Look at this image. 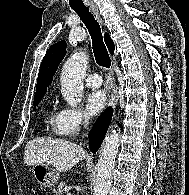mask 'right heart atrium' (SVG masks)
Returning a JSON list of instances; mask_svg holds the SVG:
<instances>
[{
  "label": "right heart atrium",
  "mask_w": 189,
  "mask_h": 195,
  "mask_svg": "<svg viewBox=\"0 0 189 195\" xmlns=\"http://www.w3.org/2000/svg\"><path fill=\"white\" fill-rule=\"evenodd\" d=\"M90 116L78 108H63L60 111L59 129L62 134L75 135L88 124Z\"/></svg>",
  "instance_id": "d8ad5b80"
}]
</instances>
